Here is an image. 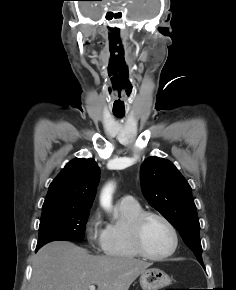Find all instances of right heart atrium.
Returning a JSON list of instances; mask_svg holds the SVG:
<instances>
[{
	"instance_id": "1",
	"label": "right heart atrium",
	"mask_w": 236,
	"mask_h": 290,
	"mask_svg": "<svg viewBox=\"0 0 236 290\" xmlns=\"http://www.w3.org/2000/svg\"><path fill=\"white\" fill-rule=\"evenodd\" d=\"M102 219L98 211L94 212L85 226L86 237L92 247L101 246L104 229L101 227Z\"/></svg>"
}]
</instances>
